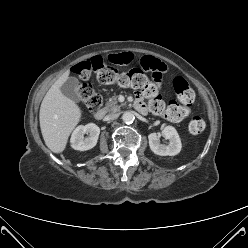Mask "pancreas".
I'll return each mask as SVG.
<instances>
[{
  "label": "pancreas",
  "mask_w": 248,
  "mask_h": 248,
  "mask_svg": "<svg viewBox=\"0 0 248 248\" xmlns=\"http://www.w3.org/2000/svg\"><path fill=\"white\" fill-rule=\"evenodd\" d=\"M123 105H118L117 97H112L105 105V110L108 112H119Z\"/></svg>",
  "instance_id": "obj_1"
}]
</instances>
